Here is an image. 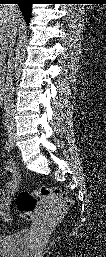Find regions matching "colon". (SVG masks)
I'll return each instance as SVG.
<instances>
[{"label": "colon", "mask_w": 106, "mask_h": 257, "mask_svg": "<svg viewBox=\"0 0 106 257\" xmlns=\"http://www.w3.org/2000/svg\"><path fill=\"white\" fill-rule=\"evenodd\" d=\"M57 202L62 208H69L72 200L58 188L42 186L33 191H21L16 198L17 209L25 220L33 219L39 208H45L50 202Z\"/></svg>", "instance_id": "colon-1"}]
</instances>
